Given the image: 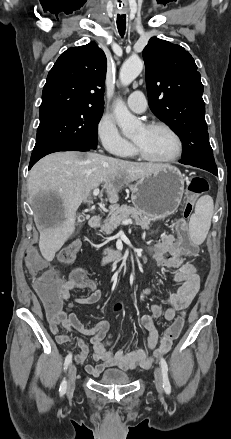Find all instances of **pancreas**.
Here are the masks:
<instances>
[{"label":"pancreas","instance_id":"1","mask_svg":"<svg viewBox=\"0 0 231 439\" xmlns=\"http://www.w3.org/2000/svg\"><path fill=\"white\" fill-rule=\"evenodd\" d=\"M128 218L134 219L135 224L140 226L142 229H148L151 226V218L138 211L134 207L123 205L111 211L110 216L105 219L100 232L110 235L124 220ZM109 252L110 251L107 249L104 251V254Z\"/></svg>","mask_w":231,"mask_h":439}]
</instances>
